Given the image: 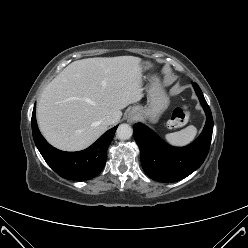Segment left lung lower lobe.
<instances>
[{
  "label": "left lung lower lobe",
  "instance_id": "left-lung-lower-lobe-1",
  "mask_svg": "<svg viewBox=\"0 0 248 248\" xmlns=\"http://www.w3.org/2000/svg\"><path fill=\"white\" fill-rule=\"evenodd\" d=\"M193 87L207 119L202 133L190 145L172 147L145 125L141 123L134 125V138L140 149L142 167L153 180L179 181L199 168L208 154L213 131V118L201 89L196 83H193Z\"/></svg>",
  "mask_w": 248,
  "mask_h": 248
}]
</instances>
